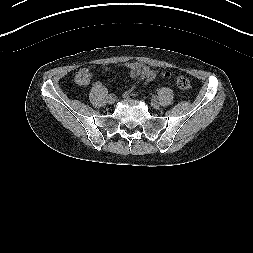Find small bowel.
Listing matches in <instances>:
<instances>
[{"label": "small bowel", "mask_w": 253, "mask_h": 253, "mask_svg": "<svg viewBox=\"0 0 253 253\" xmlns=\"http://www.w3.org/2000/svg\"><path fill=\"white\" fill-rule=\"evenodd\" d=\"M126 68L129 70L130 75L133 78H144L151 80L156 76V72L146 65H142L135 62L126 63ZM106 69H108L106 67ZM93 77V70L85 67L78 71L76 75V82L81 86L89 85Z\"/></svg>", "instance_id": "1"}]
</instances>
